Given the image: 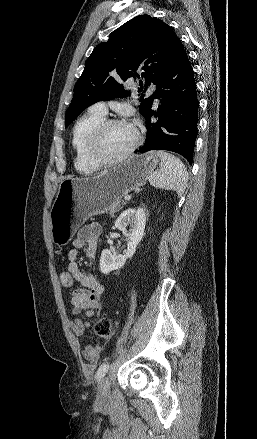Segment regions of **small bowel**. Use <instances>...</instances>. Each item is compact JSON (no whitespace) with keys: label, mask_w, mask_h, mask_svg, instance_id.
<instances>
[{"label":"small bowel","mask_w":257,"mask_h":439,"mask_svg":"<svg viewBox=\"0 0 257 439\" xmlns=\"http://www.w3.org/2000/svg\"><path fill=\"white\" fill-rule=\"evenodd\" d=\"M101 227L97 223H91L82 227L72 241V249L68 252L69 263L67 271L82 288L72 292L70 306L75 316L84 314L92 317L102 312L101 296L104 292L103 285L92 275L81 270L78 259L80 250L85 248L87 258H96ZM90 327V323L76 317L71 328L76 337H80ZM103 349L102 340L97 338L92 345L83 347L81 353L86 360L83 369L85 374H91L96 368Z\"/></svg>","instance_id":"small-bowel-1"}]
</instances>
